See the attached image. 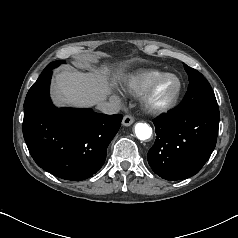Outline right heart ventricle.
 Wrapping results in <instances>:
<instances>
[{"label":"right heart ventricle","mask_w":238,"mask_h":238,"mask_svg":"<svg viewBox=\"0 0 238 238\" xmlns=\"http://www.w3.org/2000/svg\"><path fill=\"white\" fill-rule=\"evenodd\" d=\"M165 72L157 69H140L129 74L124 81L125 90L133 95L140 96L150 83Z\"/></svg>","instance_id":"e07e8e85"}]
</instances>
